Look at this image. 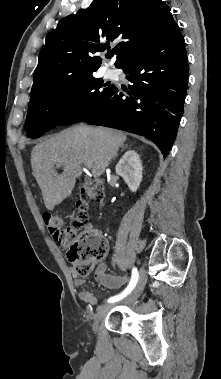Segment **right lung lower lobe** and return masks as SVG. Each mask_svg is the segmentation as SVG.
Here are the masks:
<instances>
[{
    "instance_id": "1",
    "label": "right lung lower lobe",
    "mask_w": 221,
    "mask_h": 379,
    "mask_svg": "<svg viewBox=\"0 0 221 379\" xmlns=\"http://www.w3.org/2000/svg\"><path fill=\"white\" fill-rule=\"evenodd\" d=\"M131 82L106 97L73 123L112 127L152 140L164 157L175 140L183 114L189 67L178 25L127 56L118 66Z\"/></svg>"
}]
</instances>
